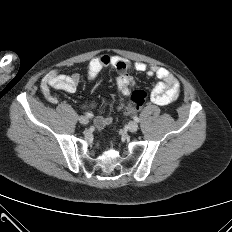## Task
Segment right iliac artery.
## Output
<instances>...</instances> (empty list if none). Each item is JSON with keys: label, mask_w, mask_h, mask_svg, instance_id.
<instances>
[{"label": "right iliac artery", "mask_w": 232, "mask_h": 232, "mask_svg": "<svg viewBox=\"0 0 232 232\" xmlns=\"http://www.w3.org/2000/svg\"><path fill=\"white\" fill-rule=\"evenodd\" d=\"M85 115H86L88 118H92V117H93V114H92V113H85Z\"/></svg>", "instance_id": "right-iliac-artery-1"}]
</instances>
